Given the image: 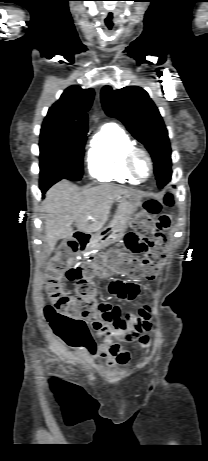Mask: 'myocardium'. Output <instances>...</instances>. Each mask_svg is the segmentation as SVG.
<instances>
[{
	"label": "myocardium",
	"instance_id": "obj_1",
	"mask_svg": "<svg viewBox=\"0 0 208 461\" xmlns=\"http://www.w3.org/2000/svg\"><path fill=\"white\" fill-rule=\"evenodd\" d=\"M138 157H143L147 162L148 167H147V173L145 175H142L136 167L135 162ZM126 167L128 171L130 172V174L133 177H135L137 180L145 181L148 178H150V176L152 175L154 164H153V160L150 154L145 148L141 146L133 145L126 154Z\"/></svg>",
	"mask_w": 208,
	"mask_h": 461
}]
</instances>
